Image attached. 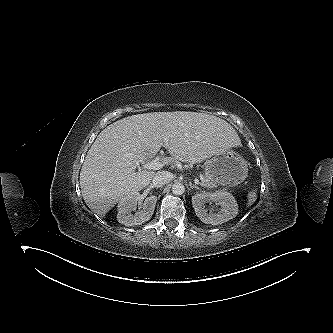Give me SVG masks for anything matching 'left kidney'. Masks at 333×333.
<instances>
[{"label":"left kidney","mask_w":333,"mask_h":333,"mask_svg":"<svg viewBox=\"0 0 333 333\" xmlns=\"http://www.w3.org/2000/svg\"><path fill=\"white\" fill-rule=\"evenodd\" d=\"M214 202L221 206L216 212L206 210V204ZM192 205L197 217L206 224L218 225L233 219L238 214V204L234 196L224 190L203 192L192 196Z\"/></svg>","instance_id":"left-kidney-1"}]
</instances>
